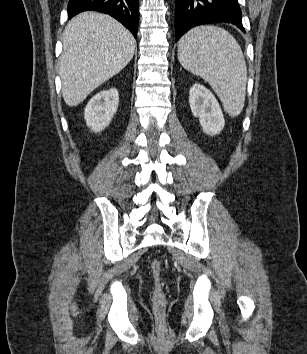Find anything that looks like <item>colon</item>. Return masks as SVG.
Masks as SVG:
<instances>
[{
    "label": "colon",
    "mask_w": 307,
    "mask_h": 354,
    "mask_svg": "<svg viewBox=\"0 0 307 354\" xmlns=\"http://www.w3.org/2000/svg\"><path fill=\"white\" fill-rule=\"evenodd\" d=\"M151 272L155 282L153 291V301L156 311L162 314L166 305V297L162 289L161 276H162V264L158 260L151 262Z\"/></svg>",
    "instance_id": "colon-1"
}]
</instances>
